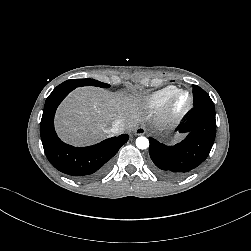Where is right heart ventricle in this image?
I'll use <instances>...</instances> for the list:
<instances>
[{
  "label": "right heart ventricle",
  "instance_id": "1",
  "mask_svg": "<svg viewBox=\"0 0 251 251\" xmlns=\"http://www.w3.org/2000/svg\"><path fill=\"white\" fill-rule=\"evenodd\" d=\"M176 90L175 86H167L157 90L144 99V106L149 110L160 109L169 96Z\"/></svg>",
  "mask_w": 251,
  "mask_h": 251
}]
</instances>
